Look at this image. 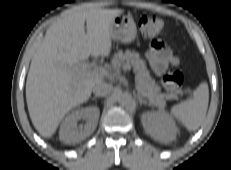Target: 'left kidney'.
Wrapping results in <instances>:
<instances>
[{
    "mask_svg": "<svg viewBox=\"0 0 231 170\" xmlns=\"http://www.w3.org/2000/svg\"><path fill=\"white\" fill-rule=\"evenodd\" d=\"M141 122L145 132L162 143L175 140L179 132L175 121L165 111L145 112L142 115Z\"/></svg>",
    "mask_w": 231,
    "mask_h": 170,
    "instance_id": "left-kidney-1",
    "label": "left kidney"
}]
</instances>
